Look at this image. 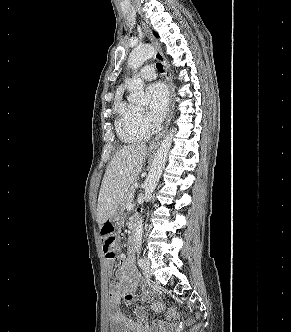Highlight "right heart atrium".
<instances>
[{"instance_id":"obj_1","label":"right heart atrium","mask_w":291,"mask_h":332,"mask_svg":"<svg viewBox=\"0 0 291 332\" xmlns=\"http://www.w3.org/2000/svg\"><path fill=\"white\" fill-rule=\"evenodd\" d=\"M138 123L142 128L146 130L149 129L150 127L148 120L146 119L145 115L141 112H139Z\"/></svg>"}]
</instances>
